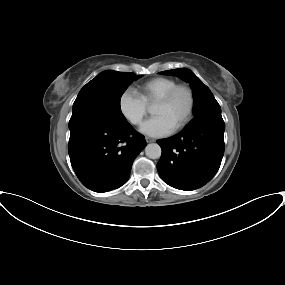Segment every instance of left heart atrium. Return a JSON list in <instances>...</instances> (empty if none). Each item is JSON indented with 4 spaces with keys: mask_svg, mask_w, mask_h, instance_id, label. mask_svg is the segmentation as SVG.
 <instances>
[{
    "mask_svg": "<svg viewBox=\"0 0 285 285\" xmlns=\"http://www.w3.org/2000/svg\"><path fill=\"white\" fill-rule=\"evenodd\" d=\"M140 131L151 137H164L173 132V127L161 116H154L146 120L140 127Z\"/></svg>",
    "mask_w": 285,
    "mask_h": 285,
    "instance_id": "left-heart-atrium-1",
    "label": "left heart atrium"
}]
</instances>
